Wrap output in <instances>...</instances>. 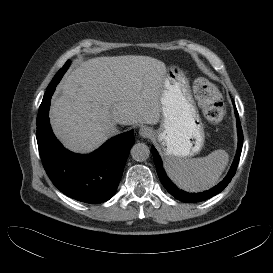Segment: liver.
I'll return each mask as SVG.
<instances>
[{"label":"liver","instance_id":"obj_1","mask_svg":"<svg viewBox=\"0 0 273 273\" xmlns=\"http://www.w3.org/2000/svg\"><path fill=\"white\" fill-rule=\"evenodd\" d=\"M166 65L149 56L96 57L61 82L50 108L55 135L68 149L89 153L111 135V126L157 124Z\"/></svg>","mask_w":273,"mask_h":273}]
</instances>
